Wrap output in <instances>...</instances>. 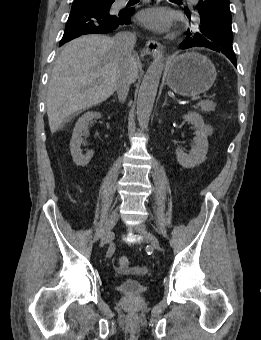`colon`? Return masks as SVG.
I'll return each instance as SVG.
<instances>
[{"label": "colon", "instance_id": "5ec220e1", "mask_svg": "<svg viewBox=\"0 0 261 340\" xmlns=\"http://www.w3.org/2000/svg\"><path fill=\"white\" fill-rule=\"evenodd\" d=\"M130 261L126 256H120L114 261V269L119 272H123L128 269Z\"/></svg>", "mask_w": 261, "mask_h": 340}]
</instances>
